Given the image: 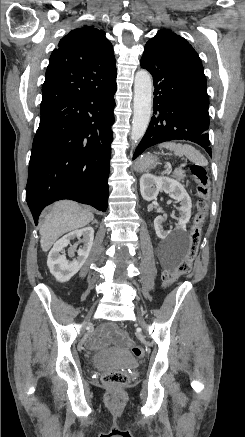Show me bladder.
Listing matches in <instances>:
<instances>
[{
	"mask_svg": "<svg viewBox=\"0 0 245 437\" xmlns=\"http://www.w3.org/2000/svg\"><path fill=\"white\" fill-rule=\"evenodd\" d=\"M96 360L111 369H130L137 366L136 359L130 353L113 348L100 352Z\"/></svg>",
	"mask_w": 245,
	"mask_h": 437,
	"instance_id": "1",
	"label": "bladder"
}]
</instances>
